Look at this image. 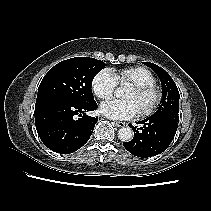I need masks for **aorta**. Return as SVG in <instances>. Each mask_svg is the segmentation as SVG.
Wrapping results in <instances>:
<instances>
[{
  "label": "aorta",
  "mask_w": 211,
  "mask_h": 211,
  "mask_svg": "<svg viewBox=\"0 0 211 211\" xmlns=\"http://www.w3.org/2000/svg\"><path fill=\"white\" fill-rule=\"evenodd\" d=\"M122 91V88H118L116 90L117 96H120ZM133 135V130L130 127H122L118 131V137L122 142H129L133 138Z\"/></svg>",
  "instance_id": "obj_1"
}]
</instances>
